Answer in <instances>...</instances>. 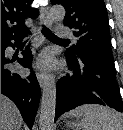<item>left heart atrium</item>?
<instances>
[{"mask_svg":"<svg viewBox=\"0 0 123 130\" xmlns=\"http://www.w3.org/2000/svg\"><path fill=\"white\" fill-rule=\"evenodd\" d=\"M38 64L40 67L42 68H47L50 64V56L48 54H43L39 61H38Z\"/></svg>","mask_w":123,"mask_h":130,"instance_id":"left-heart-atrium-1","label":"left heart atrium"}]
</instances>
